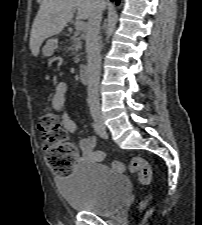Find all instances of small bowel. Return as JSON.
<instances>
[{
	"label": "small bowel",
	"instance_id": "small-bowel-1",
	"mask_svg": "<svg viewBox=\"0 0 202 225\" xmlns=\"http://www.w3.org/2000/svg\"><path fill=\"white\" fill-rule=\"evenodd\" d=\"M68 90V85L65 81H58L55 86V92L51 98V107L60 116L61 126L68 132L74 133L77 130L76 122L67 114L62 112L65 103V97ZM80 147L82 149L81 158L88 159L92 162H103L105 153L96 148V138L87 136L81 139Z\"/></svg>",
	"mask_w": 202,
	"mask_h": 225
}]
</instances>
